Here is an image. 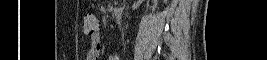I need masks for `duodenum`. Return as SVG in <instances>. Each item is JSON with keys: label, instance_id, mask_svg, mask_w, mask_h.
<instances>
[{"label": "duodenum", "instance_id": "duodenum-1", "mask_svg": "<svg viewBox=\"0 0 267 60\" xmlns=\"http://www.w3.org/2000/svg\"><path fill=\"white\" fill-rule=\"evenodd\" d=\"M113 15L117 20H121L123 16V10L121 8H115L113 11Z\"/></svg>", "mask_w": 267, "mask_h": 60}]
</instances>
